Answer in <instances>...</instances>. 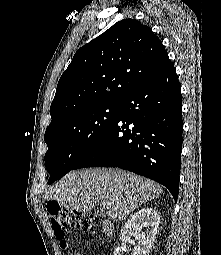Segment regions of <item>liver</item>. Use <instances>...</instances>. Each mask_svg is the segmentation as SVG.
<instances>
[{"label": "liver", "mask_w": 221, "mask_h": 255, "mask_svg": "<svg viewBox=\"0 0 221 255\" xmlns=\"http://www.w3.org/2000/svg\"><path fill=\"white\" fill-rule=\"evenodd\" d=\"M161 193L159 184L124 170L86 169L68 173L45 192L44 199L82 213L100 203L110 219L121 221Z\"/></svg>", "instance_id": "6515ba94"}]
</instances>
